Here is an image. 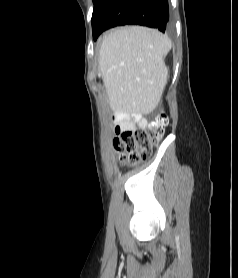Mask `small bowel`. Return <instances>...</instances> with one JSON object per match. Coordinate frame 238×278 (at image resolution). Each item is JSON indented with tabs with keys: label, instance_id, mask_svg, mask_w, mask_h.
I'll return each instance as SVG.
<instances>
[{
	"label": "small bowel",
	"instance_id": "c3829d8e",
	"mask_svg": "<svg viewBox=\"0 0 238 278\" xmlns=\"http://www.w3.org/2000/svg\"><path fill=\"white\" fill-rule=\"evenodd\" d=\"M113 122L116 133L136 128H145L147 126V120L138 112L128 113L118 111L113 116Z\"/></svg>",
	"mask_w": 238,
	"mask_h": 278
}]
</instances>
